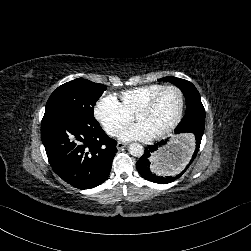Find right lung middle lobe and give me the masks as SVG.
<instances>
[{"mask_svg": "<svg viewBox=\"0 0 251 251\" xmlns=\"http://www.w3.org/2000/svg\"><path fill=\"white\" fill-rule=\"evenodd\" d=\"M106 90L103 84L78 78L59 86L49 97L47 112H64L84 118H94L96 101Z\"/></svg>", "mask_w": 251, "mask_h": 251, "instance_id": "obj_1", "label": "right lung middle lobe"}]
</instances>
